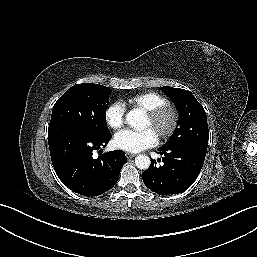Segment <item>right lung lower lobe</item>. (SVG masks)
Instances as JSON below:
<instances>
[{"instance_id":"obj_1","label":"right lung lower lobe","mask_w":257,"mask_h":257,"mask_svg":"<svg viewBox=\"0 0 257 257\" xmlns=\"http://www.w3.org/2000/svg\"><path fill=\"white\" fill-rule=\"evenodd\" d=\"M111 139L96 136L77 127L48 131V144L53 167L59 179L72 191L84 196H97L111 189L127 162L121 150L104 153L97 159L93 151Z\"/></svg>"}]
</instances>
